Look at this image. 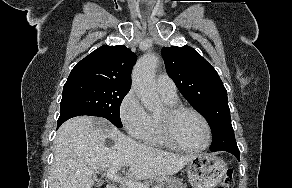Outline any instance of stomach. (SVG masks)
Returning a JSON list of instances; mask_svg holds the SVG:
<instances>
[{"label":"stomach","instance_id":"stomach-1","mask_svg":"<svg viewBox=\"0 0 292 188\" xmlns=\"http://www.w3.org/2000/svg\"><path fill=\"white\" fill-rule=\"evenodd\" d=\"M226 171L227 165L223 159L207 153L195 155L186 164L188 180L194 188H214Z\"/></svg>","mask_w":292,"mask_h":188}]
</instances>
